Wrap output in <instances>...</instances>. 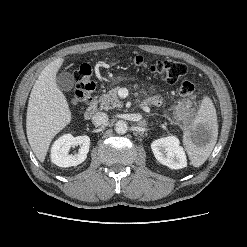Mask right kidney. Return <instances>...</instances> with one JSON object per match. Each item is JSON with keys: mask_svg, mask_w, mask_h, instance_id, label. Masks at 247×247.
Here are the masks:
<instances>
[{"mask_svg": "<svg viewBox=\"0 0 247 247\" xmlns=\"http://www.w3.org/2000/svg\"><path fill=\"white\" fill-rule=\"evenodd\" d=\"M79 145L77 154L69 155L68 152L72 146ZM89 136L73 137L66 134L59 137L51 147V161L59 167L77 166L85 161L89 152Z\"/></svg>", "mask_w": 247, "mask_h": 247, "instance_id": "right-kidney-1", "label": "right kidney"}]
</instances>
